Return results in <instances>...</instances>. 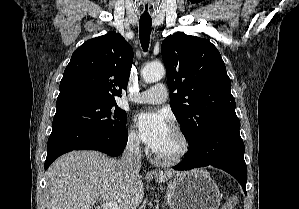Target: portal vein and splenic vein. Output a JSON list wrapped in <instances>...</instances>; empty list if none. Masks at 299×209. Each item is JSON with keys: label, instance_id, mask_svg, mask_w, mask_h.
Here are the masks:
<instances>
[{"label": "portal vein and splenic vein", "instance_id": "portal-vein-and-splenic-vein-1", "mask_svg": "<svg viewBox=\"0 0 299 209\" xmlns=\"http://www.w3.org/2000/svg\"><path fill=\"white\" fill-rule=\"evenodd\" d=\"M101 207L103 209H121L118 206L117 202H115L114 200H111L109 202H103V203H101Z\"/></svg>", "mask_w": 299, "mask_h": 209}]
</instances>
